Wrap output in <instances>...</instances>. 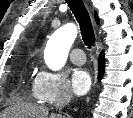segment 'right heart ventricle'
<instances>
[{
  "label": "right heart ventricle",
  "mask_w": 133,
  "mask_h": 118,
  "mask_svg": "<svg viewBox=\"0 0 133 118\" xmlns=\"http://www.w3.org/2000/svg\"><path fill=\"white\" fill-rule=\"evenodd\" d=\"M32 93H33V96L37 98L36 93H35V89H34V85L32 86Z\"/></svg>",
  "instance_id": "1"
}]
</instances>
